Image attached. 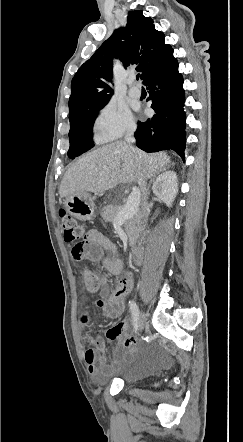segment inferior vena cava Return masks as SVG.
<instances>
[{"mask_svg":"<svg viewBox=\"0 0 243 442\" xmlns=\"http://www.w3.org/2000/svg\"><path fill=\"white\" fill-rule=\"evenodd\" d=\"M135 127H131L128 129L127 134L125 136V141L130 145L131 143L135 142L134 138V132ZM137 183L140 187V191L142 193V211L138 214L139 221H140V228L143 231L145 229L147 217H148V210H147V189H146V182L145 177L141 171V167L139 164H137ZM140 198L138 197V206H139Z\"/></svg>","mask_w":243,"mask_h":442,"instance_id":"obj_1","label":"inferior vena cava"}]
</instances>
